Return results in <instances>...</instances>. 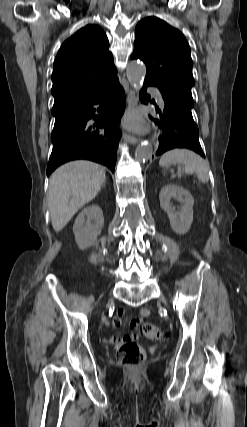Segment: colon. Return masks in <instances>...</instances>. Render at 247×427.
<instances>
[{
  "mask_svg": "<svg viewBox=\"0 0 247 427\" xmlns=\"http://www.w3.org/2000/svg\"><path fill=\"white\" fill-rule=\"evenodd\" d=\"M142 332L151 341H159L166 337L162 329L151 323L144 324ZM144 359V350L135 342H125L117 350V360L124 366L136 368L143 363Z\"/></svg>",
  "mask_w": 247,
  "mask_h": 427,
  "instance_id": "5ec220e1",
  "label": "colon"
}]
</instances>
